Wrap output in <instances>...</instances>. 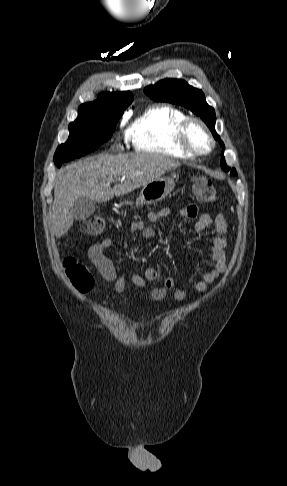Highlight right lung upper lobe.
Returning <instances> with one entry per match:
<instances>
[{
  "instance_id": "cb5924a9",
  "label": "right lung upper lobe",
  "mask_w": 287,
  "mask_h": 486,
  "mask_svg": "<svg viewBox=\"0 0 287 486\" xmlns=\"http://www.w3.org/2000/svg\"><path fill=\"white\" fill-rule=\"evenodd\" d=\"M133 101L130 91L126 92H106L99 95L98 99L82 104L78 110L99 109L112 113H123Z\"/></svg>"
}]
</instances>
